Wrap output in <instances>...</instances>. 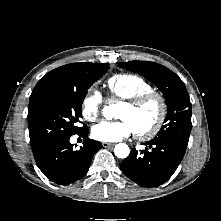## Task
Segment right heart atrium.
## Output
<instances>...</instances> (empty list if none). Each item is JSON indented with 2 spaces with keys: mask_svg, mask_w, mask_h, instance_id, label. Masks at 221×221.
I'll return each instance as SVG.
<instances>
[{
  "mask_svg": "<svg viewBox=\"0 0 221 221\" xmlns=\"http://www.w3.org/2000/svg\"><path fill=\"white\" fill-rule=\"evenodd\" d=\"M103 95L97 89H90L81 103V114L89 122H94L101 114L103 107Z\"/></svg>",
  "mask_w": 221,
  "mask_h": 221,
  "instance_id": "obj_1",
  "label": "right heart atrium"
}]
</instances>
